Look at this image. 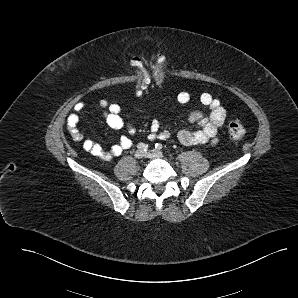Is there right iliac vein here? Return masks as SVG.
Returning <instances> with one entry per match:
<instances>
[{
  "label": "right iliac vein",
  "instance_id": "63e3f726",
  "mask_svg": "<svg viewBox=\"0 0 298 298\" xmlns=\"http://www.w3.org/2000/svg\"><path fill=\"white\" fill-rule=\"evenodd\" d=\"M134 156L137 158V159H142L144 156H145V153L143 152V150H137L134 154Z\"/></svg>",
  "mask_w": 298,
  "mask_h": 298
}]
</instances>
